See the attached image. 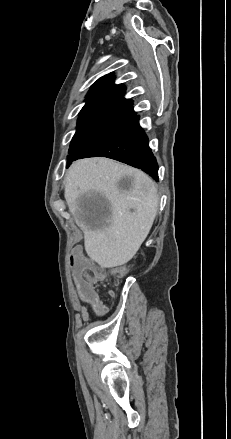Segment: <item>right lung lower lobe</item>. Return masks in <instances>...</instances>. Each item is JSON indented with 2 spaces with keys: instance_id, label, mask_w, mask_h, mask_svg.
Returning a JSON list of instances; mask_svg holds the SVG:
<instances>
[{
  "instance_id": "right-lung-lower-lobe-1",
  "label": "right lung lower lobe",
  "mask_w": 231,
  "mask_h": 439,
  "mask_svg": "<svg viewBox=\"0 0 231 439\" xmlns=\"http://www.w3.org/2000/svg\"><path fill=\"white\" fill-rule=\"evenodd\" d=\"M97 156L108 157L139 168L158 181V164L136 114L122 122L78 159Z\"/></svg>"
}]
</instances>
